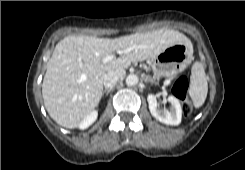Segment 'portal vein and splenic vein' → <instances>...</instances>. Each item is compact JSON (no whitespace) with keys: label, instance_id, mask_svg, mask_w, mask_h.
<instances>
[{"label":"portal vein and splenic vein","instance_id":"1","mask_svg":"<svg viewBox=\"0 0 245 170\" xmlns=\"http://www.w3.org/2000/svg\"><path fill=\"white\" fill-rule=\"evenodd\" d=\"M132 48H128V49H125V50H121V51H118L119 54H124V53H127L129 51H131ZM114 59V55L113 54H110V55H107L104 59H103V62L106 63V62H109L111 60Z\"/></svg>","mask_w":245,"mask_h":170}]
</instances>
